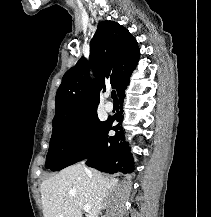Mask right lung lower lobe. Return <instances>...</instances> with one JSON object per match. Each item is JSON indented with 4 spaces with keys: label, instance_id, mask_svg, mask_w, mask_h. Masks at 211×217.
Here are the masks:
<instances>
[{
    "label": "right lung lower lobe",
    "instance_id": "98d812e1",
    "mask_svg": "<svg viewBox=\"0 0 211 217\" xmlns=\"http://www.w3.org/2000/svg\"><path fill=\"white\" fill-rule=\"evenodd\" d=\"M125 90V89H124ZM124 90L119 94L120 104L125 97ZM115 121L121 122V113L109 118L101 141L86 157V165L107 173H131L134 169V159L131 156L127 143L123 141V132L120 123L113 125ZM114 130L115 136L108 137V132Z\"/></svg>",
    "mask_w": 211,
    "mask_h": 217
}]
</instances>
